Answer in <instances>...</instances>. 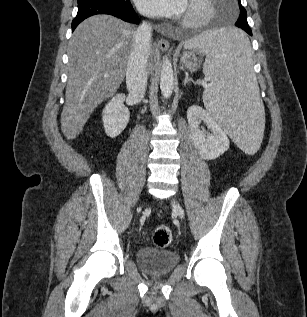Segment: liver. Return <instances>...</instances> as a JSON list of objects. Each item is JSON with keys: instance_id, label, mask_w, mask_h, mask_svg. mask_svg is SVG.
<instances>
[{"instance_id": "6515ba94", "label": "liver", "mask_w": 307, "mask_h": 317, "mask_svg": "<svg viewBox=\"0 0 307 317\" xmlns=\"http://www.w3.org/2000/svg\"><path fill=\"white\" fill-rule=\"evenodd\" d=\"M133 27L110 15L92 16L75 29L68 49V81L61 129L67 139L82 132L94 109L120 87L135 39ZM157 49L150 50L154 68Z\"/></svg>"}]
</instances>
